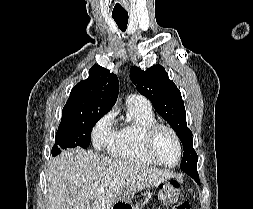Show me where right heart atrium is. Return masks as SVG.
Returning <instances> with one entry per match:
<instances>
[{
  "mask_svg": "<svg viewBox=\"0 0 253 209\" xmlns=\"http://www.w3.org/2000/svg\"><path fill=\"white\" fill-rule=\"evenodd\" d=\"M114 116L107 113L100 117L91 131L92 143L97 150H110L116 140Z\"/></svg>",
  "mask_w": 253,
  "mask_h": 209,
  "instance_id": "d8ad5b80",
  "label": "right heart atrium"
}]
</instances>
